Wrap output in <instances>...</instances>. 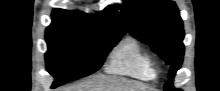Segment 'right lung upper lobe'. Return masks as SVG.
Segmentation results:
<instances>
[{"label":"right lung upper lobe","instance_id":"right-lung-upper-lobe-1","mask_svg":"<svg viewBox=\"0 0 220 91\" xmlns=\"http://www.w3.org/2000/svg\"><path fill=\"white\" fill-rule=\"evenodd\" d=\"M81 26L95 31H115L125 34L118 11L108 6L97 15H89L79 11L55 9L52 12V24L49 27Z\"/></svg>","mask_w":220,"mask_h":91}]
</instances>
